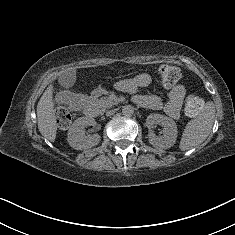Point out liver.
<instances>
[{
    "instance_id": "6515ba94",
    "label": "liver",
    "mask_w": 235,
    "mask_h": 235,
    "mask_svg": "<svg viewBox=\"0 0 235 235\" xmlns=\"http://www.w3.org/2000/svg\"><path fill=\"white\" fill-rule=\"evenodd\" d=\"M52 87H48L41 96L37 105L38 128L40 133L49 140L54 139L56 129L52 126L53 119Z\"/></svg>"
}]
</instances>
